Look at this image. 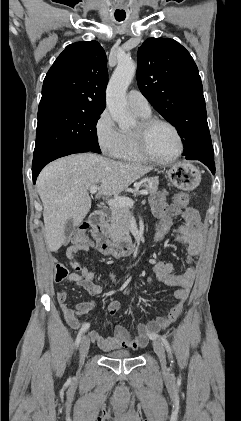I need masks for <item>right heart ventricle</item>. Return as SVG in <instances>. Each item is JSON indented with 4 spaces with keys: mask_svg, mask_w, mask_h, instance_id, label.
<instances>
[{
    "mask_svg": "<svg viewBox=\"0 0 241 421\" xmlns=\"http://www.w3.org/2000/svg\"><path fill=\"white\" fill-rule=\"evenodd\" d=\"M142 120L150 117V113L143 114L134 111ZM120 144L116 153V158L122 161L129 162H147L148 160L139 152L135 138L134 130L120 131Z\"/></svg>",
    "mask_w": 241,
    "mask_h": 421,
    "instance_id": "1",
    "label": "right heart ventricle"
}]
</instances>
